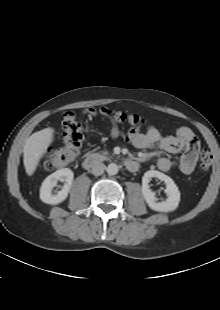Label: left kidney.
<instances>
[{
    "instance_id": "5707ae66",
    "label": "left kidney",
    "mask_w": 220,
    "mask_h": 310,
    "mask_svg": "<svg viewBox=\"0 0 220 310\" xmlns=\"http://www.w3.org/2000/svg\"><path fill=\"white\" fill-rule=\"evenodd\" d=\"M152 177H156L166 184L165 192L168 198L163 202H156L155 193L150 189L149 182ZM142 194L148 206L158 212L174 211L180 202V192L174 181L169 176L156 170H149L142 177Z\"/></svg>"
}]
</instances>
